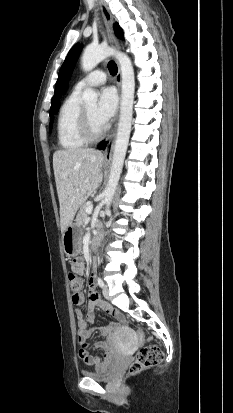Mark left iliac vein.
I'll use <instances>...</instances> for the list:
<instances>
[{
    "instance_id": "4c4485c4",
    "label": "left iliac vein",
    "mask_w": 233,
    "mask_h": 413,
    "mask_svg": "<svg viewBox=\"0 0 233 413\" xmlns=\"http://www.w3.org/2000/svg\"><path fill=\"white\" fill-rule=\"evenodd\" d=\"M102 292H103V295H104V297H105L106 299H109V298H110V296H109V290H108V288H107L106 286L103 287Z\"/></svg>"
}]
</instances>
